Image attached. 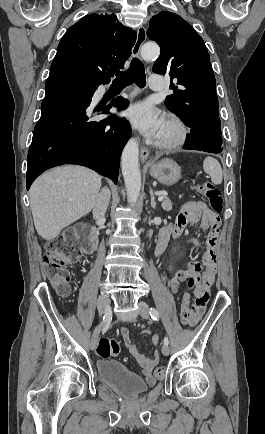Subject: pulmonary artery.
<instances>
[{"label": "pulmonary artery", "instance_id": "obj_1", "mask_svg": "<svg viewBox=\"0 0 265 434\" xmlns=\"http://www.w3.org/2000/svg\"><path fill=\"white\" fill-rule=\"evenodd\" d=\"M148 81L150 84H161L163 78L161 75H150Z\"/></svg>", "mask_w": 265, "mask_h": 434}]
</instances>
